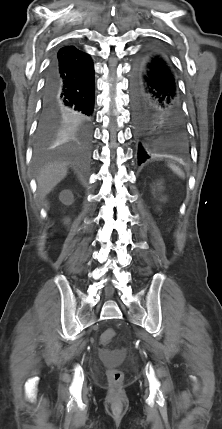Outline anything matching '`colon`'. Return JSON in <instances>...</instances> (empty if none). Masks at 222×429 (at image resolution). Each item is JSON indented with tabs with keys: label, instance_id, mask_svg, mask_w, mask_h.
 <instances>
[{
	"label": "colon",
	"instance_id": "obj_1",
	"mask_svg": "<svg viewBox=\"0 0 222 429\" xmlns=\"http://www.w3.org/2000/svg\"><path fill=\"white\" fill-rule=\"evenodd\" d=\"M114 337L115 332L112 329L104 331L101 335V344L104 346L108 345L114 339ZM107 376L112 386L120 385L124 379L123 372L117 368H109L107 371Z\"/></svg>",
	"mask_w": 222,
	"mask_h": 429
}]
</instances>
